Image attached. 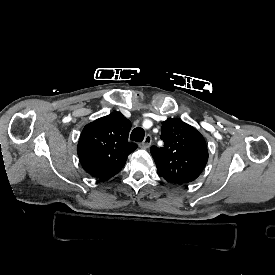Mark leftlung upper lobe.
Here are the masks:
<instances>
[{
    "instance_id": "5c2ea615",
    "label": "left lung upper lobe",
    "mask_w": 275,
    "mask_h": 275,
    "mask_svg": "<svg viewBox=\"0 0 275 275\" xmlns=\"http://www.w3.org/2000/svg\"><path fill=\"white\" fill-rule=\"evenodd\" d=\"M161 139L162 148L152 146L150 149L157 171L174 184L194 181L208 161L204 137L182 120L168 118L162 124Z\"/></svg>"
}]
</instances>
